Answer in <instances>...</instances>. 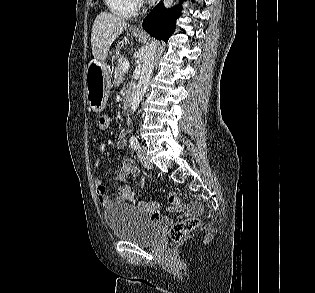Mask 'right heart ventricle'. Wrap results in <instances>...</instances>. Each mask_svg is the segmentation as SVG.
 <instances>
[{"mask_svg":"<svg viewBox=\"0 0 315 293\" xmlns=\"http://www.w3.org/2000/svg\"><path fill=\"white\" fill-rule=\"evenodd\" d=\"M108 10L116 17L129 19L136 14L134 0H104Z\"/></svg>","mask_w":315,"mask_h":293,"instance_id":"obj_1","label":"right heart ventricle"}]
</instances>
